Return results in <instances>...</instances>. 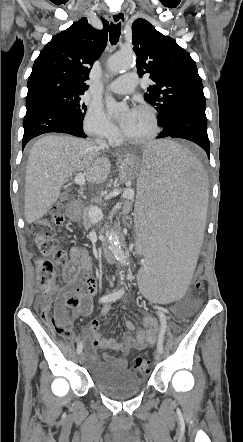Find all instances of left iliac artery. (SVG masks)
<instances>
[{"instance_id":"left-iliac-artery-1","label":"left iliac artery","mask_w":243,"mask_h":442,"mask_svg":"<svg viewBox=\"0 0 243 442\" xmlns=\"http://www.w3.org/2000/svg\"><path fill=\"white\" fill-rule=\"evenodd\" d=\"M160 319V331L158 336L157 350L159 352H163V338L167 329V318L165 314L161 311L157 312Z\"/></svg>"}]
</instances>
